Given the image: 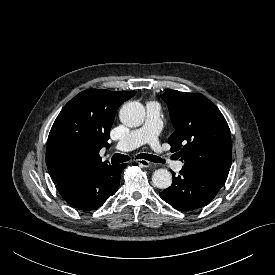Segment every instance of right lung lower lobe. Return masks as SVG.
Segmentation results:
<instances>
[{
	"instance_id": "obj_1",
	"label": "right lung lower lobe",
	"mask_w": 275,
	"mask_h": 275,
	"mask_svg": "<svg viewBox=\"0 0 275 275\" xmlns=\"http://www.w3.org/2000/svg\"><path fill=\"white\" fill-rule=\"evenodd\" d=\"M126 164L105 165L85 175L56 184L61 196L80 210H94L116 193Z\"/></svg>"
}]
</instances>
